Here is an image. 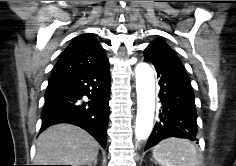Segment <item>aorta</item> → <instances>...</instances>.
<instances>
[{"label":"aorta","mask_w":236,"mask_h":166,"mask_svg":"<svg viewBox=\"0 0 236 166\" xmlns=\"http://www.w3.org/2000/svg\"><path fill=\"white\" fill-rule=\"evenodd\" d=\"M137 91V117L135 137L137 140L146 139L153 127L155 111V81L153 69L144 62L135 69Z\"/></svg>","instance_id":"1"}]
</instances>
